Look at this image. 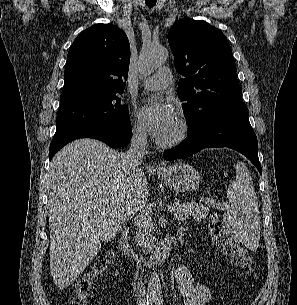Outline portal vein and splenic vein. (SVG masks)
Instances as JSON below:
<instances>
[{"instance_id":"obj_1","label":"portal vein and splenic vein","mask_w":297,"mask_h":305,"mask_svg":"<svg viewBox=\"0 0 297 305\" xmlns=\"http://www.w3.org/2000/svg\"><path fill=\"white\" fill-rule=\"evenodd\" d=\"M217 208H222V205L221 204H217ZM168 210L170 212H174L175 211V205H171L168 207Z\"/></svg>"}]
</instances>
